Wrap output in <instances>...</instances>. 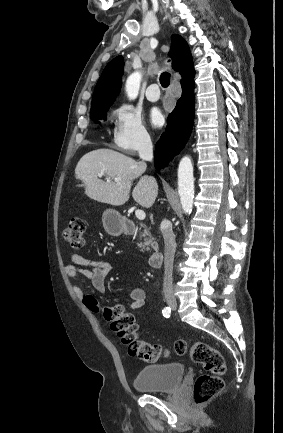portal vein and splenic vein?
<instances>
[{
  "instance_id": "1",
  "label": "portal vein and splenic vein",
  "mask_w": 283,
  "mask_h": 433,
  "mask_svg": "<svg viewBox=\"0 0 283 433\" xmlns=\"http://www.w3.org/2000/svg\"><path fill=\"white\" fill-rule=\"evenodd\" d=\"M98 176H103L104 172H97ZM114 180H121L120 176H115ZM135 214L137 219H140V221H143L145 219L146 214L144 210H135Z\"/></svg>"
}]
</instances>
